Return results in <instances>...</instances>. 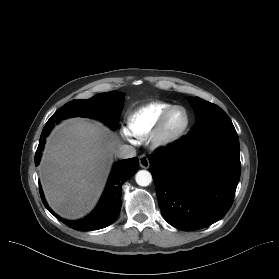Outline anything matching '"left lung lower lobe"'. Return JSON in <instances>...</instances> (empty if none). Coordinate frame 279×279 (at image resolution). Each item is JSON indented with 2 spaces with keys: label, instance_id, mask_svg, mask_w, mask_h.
<instances>
[{
  "label": "left lung lower lobe",
  "instance_id": "1",
  "mask_svg": "<svg viewBox=\"0 0 279 279\" xmlns=\"http://www.w3.org/2000/svg\"><path fill=\"white\" fill-rule=\"evenodd\" d=\"M239 139L233 127L192 131L149 155L164 219L193 231L220 220L230 209L239 182Z\"/></svg>",
  "mask_w": 279,
  "mask_h": 279
}]
</instances>
